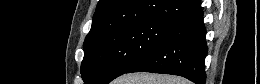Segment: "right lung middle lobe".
<instances>
[{
	"instance_id": "dd1d6c3e",
	"label": "right lung middle lobe",
	"mask_w": 260,
	"mask_h": 84,
	"mask_svg": "<svg viewBox=\"0 0 260 84\" xmlns=\"http://www.w3.org/2000/svg\"><path fill=\"white\" fill-rule=\"evenodd\" d=\"M172 23L148 20L124 25L85 43L81 74L84 84H107L143 58Z\"/></svg>"
}]
</instances>
